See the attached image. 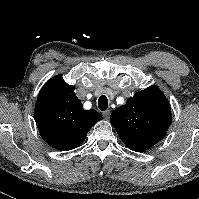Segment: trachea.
Masks as SVG:
<instances>
[{
	"mask_svg": "<svg viewBox=\"0 0 199 199\" xmlns=\"http://www.w3.org/2000/svg\"><path fill=\"white\" fill-rule=\"evenodd\" d=\"M98 107L101 111H105L108 108V99L105 95L99 97Z\"/></svg>",
	"mask_w": 199,
	"mask_h": 199,
	"instance_id": "3493384b",
	"label": "trachea"
}]
</instances>
